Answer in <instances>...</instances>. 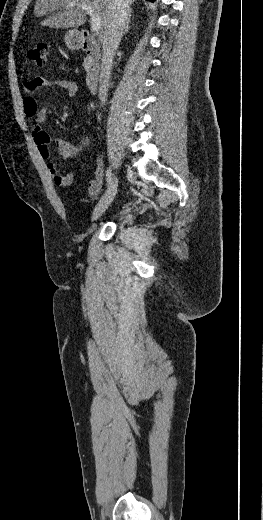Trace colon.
Segmentation results:
<instances>
[{"mask_svg":"<svg viewBox=\"0 0 263 520\" xmlns=\"http://www.w3.org/2000/svg\"><path fill=\"white\" fill-rule=\"evenodd\" d=\"M48 54L49 46L46 43H39L27 52L28 58L40 67L47 65Z\"/></svg>","mask_w":263,"mask_h":520,"instance_id":"colon-1","label":"colon"}]
</instances>
